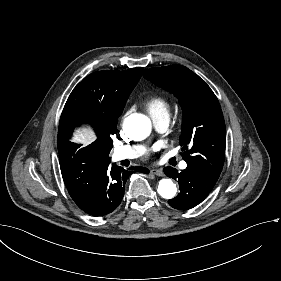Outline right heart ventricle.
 <instances>
[{
  "label": "right heart ventricle",
  "instance_id": "e07e8e85",
  "mask_svg": "<svg viewBox=\"0 0 281 281\" xmlns=\"http://www.w3.org/2000/svg\"><path fill=\"white\" fill-rule=\"evenodd\" d=\"M170 107L169 100L162 95L152 96L146 103V108L153 117L168 115Z\"/></svg>",
  "mask_w": 281,
  "mask_h": 281
}]
</instances>
